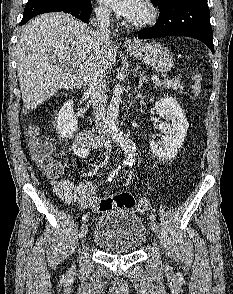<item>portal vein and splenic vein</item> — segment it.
<instances>
[{"mask_svg": "<svg viewBox=\"0 0 233 294\" xmlns=\"http://www.w3.org/2000/svg\"><path fill=\"white\" fill-rule=\"evenodd\" d=\"M153 81H159L160 79H159V77H157V76H152V78H151Z\"/></svg>", "mask_w": 233, "mask_h": 294, "instance_id": "18ae733b", "label": "portal vein and splenic vein"}]
</instances>
